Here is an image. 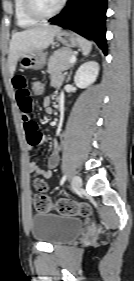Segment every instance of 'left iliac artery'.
I'll list each match as a JSON object with an SVG mask.
<instances>
[{
  "mask_svg": "<svg viewBox=\"0 0 134 281\" xmlns=\"http://www.w3.org/2000/svg\"><path fill=\"white\" fill-rule=\"evenodd\" d=\"M67 175H64L61 179V185L66 181Z\"/></svg>",
  "mask_w": 134,
  "mask_h": 281,
  "instance_id": "left-iliac-artery-1",
  "label": "left iliac artery"
}]
</instances>
